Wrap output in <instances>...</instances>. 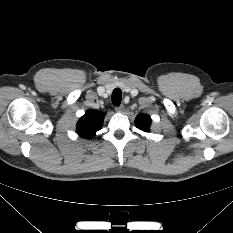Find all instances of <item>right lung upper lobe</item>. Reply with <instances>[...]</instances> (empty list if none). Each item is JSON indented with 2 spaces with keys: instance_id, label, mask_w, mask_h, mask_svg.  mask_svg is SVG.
Segmentation results:
<instances>
[{
  "instance_id": "right-lung-upper-lobe-1",
  "label": "right lung upper lobe",
  "mask_w": 233,
  "mask_h": 233,
  "mask_svg": "<svg viewBox=\"0 0 233 233\" xmlns=\"http://www.w3.org/2000/svg\"><path fill=\"white\" fill-rule=\"evenodd\" d=\"M104 114L88 110L77 123V133L83 138H92L102 128Z\"/></svg>"
}]
</instances>
